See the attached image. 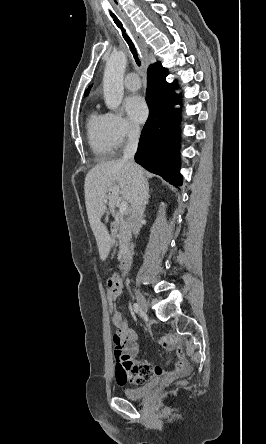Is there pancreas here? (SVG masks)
<instances>
[{"mask_svg":"<svg viewBox=\"0 0 266 444\" xmlns=\"http://www.w3.org/2000/svg\"><path fill=\"white\" fill-rule=\"evenodd\" d=\"M118 232L120 247L123 248L127 245V242L131 235L130 226L127 220L123 216L118 220Z\"/></svg>","mask_w":266,"mask_h":444,"instance_id":"pancreas-1","label":"pancreas"}]
</instances>
